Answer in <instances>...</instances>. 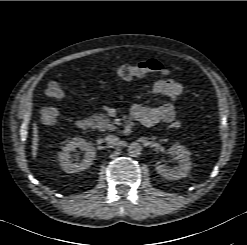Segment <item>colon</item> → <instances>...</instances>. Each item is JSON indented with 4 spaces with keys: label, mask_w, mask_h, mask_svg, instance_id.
Here are the masks:
<instances>
[{
    "label": "colon",
    "mask_w": 247,
    "mask_h": 245,
    "mask_svg": "<svg viewBox=\"0 0 247 245\" xmlns=\"http://www.w3.org/2000/svg\"><path fill=\"white\" fill-rule=\"evenodd\" d=\"M115 75L121 79H132L135 77H143L148 74H160L168 75L169 71L164 68V66L157 60L150 59L138 62L136 64H124L117 67L114 71ZM46 95L54 100H59L64 97V91L62 87L56 83L51 82L47 86ZM40 120L46 125L54 124L58 117L59 111L55 107H43L40 112ZM172 128H180L181 121L178 119L170 122Z\"/></svg>",
    "instance_id": "colon-1"
}]
</instances>
